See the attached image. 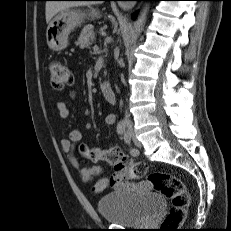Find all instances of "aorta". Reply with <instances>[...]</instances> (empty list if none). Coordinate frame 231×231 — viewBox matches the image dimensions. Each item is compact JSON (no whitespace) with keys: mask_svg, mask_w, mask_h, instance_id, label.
<instances>
[{"mask_svg":"<svg viewBox=\"0 0 231 231\" xmlns=\"http://www.w3.org/2000/svg\"><path fill=\"white\" fill-rule=\"evenodd\" d=\"M146 13H147V9L145 7H143L136 19V21L133 24V28H132V36L131 39L134 40L136 39L142 32L145 21H146Z\"/></svg>","mask_w":231,"mask_h":231,"instance_id":"aorta-1","label":"aorta"}]
</instances>
